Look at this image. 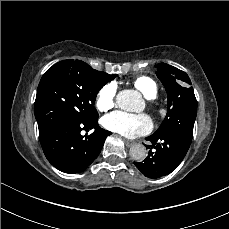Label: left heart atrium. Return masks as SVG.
Here are the masks:
<instances>
[{
	"label": "left heart atrium",
	"instance_id": "obj_1",
	"mask_svg": "<svg viewBox=\"0 0 229 229\" xmlns=\"http://www.w3.org/2000/svg\"><path fill=\"white\" fill-rule=\"evenodd\" d=\"M105 128L129 138L149 133L152 129V120L147 114H131L115 111L103 120Z\"/></svg>",
	"mask_w": 229,
	"mask_h": 229
}]
</instances>
